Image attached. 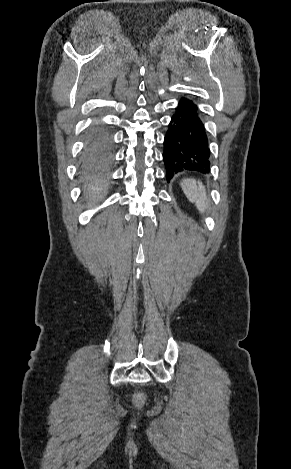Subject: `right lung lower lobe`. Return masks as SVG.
<instances>
[{"mask_svg": "<svg viewBox=\"0 0 291 469\" xmlns=\"http://www.w3.org/2000/svg\"><path fill=\"white\" fill-rule=\"evenodd\" d=\"M112 161V144L109 134L99 126H92L85 137L81 165L89 170H105Z\"/></svg>", "mask_w": 291, "mask_h": 469, "instance_id": "98d812e1", "label": "right lung lower lobe"}]
</instances>
